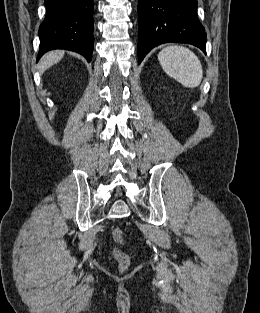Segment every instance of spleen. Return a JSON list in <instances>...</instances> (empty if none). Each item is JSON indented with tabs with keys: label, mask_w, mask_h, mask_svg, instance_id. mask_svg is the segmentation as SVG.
Segmentation results:
<instances>
[{
	"label": "spleen",
	"mask_w": 260,
	"mask_h": 313,
	"mask_svg": "<svg viewBox=\"0 0 260 313\" xmlns=\"http://www.w3.org/2000/svg\"><path fill=\"white\" fill-rule=\"evenodd\" d=\"M162 69L184 87H198L203 78V69L198 57L188 48L171 45L158 54Z\"/></svg>",
	"instance_id": "1"
}]
</instances>
